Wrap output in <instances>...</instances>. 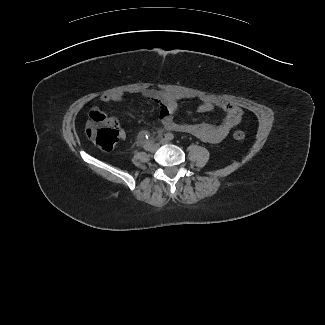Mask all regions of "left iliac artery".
Here are the masks:
<instances>
[{
	"label": "left iliac artery",
	"mask_w": 325,
	"mask_h": 325,
	"mask_svg": "<svg viewBox=\"0 0 325 325\" xmlns=\"http://www.w3.org/2000/svg\"><path fill=\"white\" fill-rule=\"evenodd\" d=\"M165 138L168 139V140H173L174 135L172 133H167V134H165Z\"/></svg>",
	"instance_id": "obj_1"
}]
</instances>
